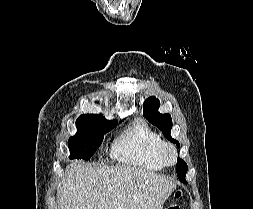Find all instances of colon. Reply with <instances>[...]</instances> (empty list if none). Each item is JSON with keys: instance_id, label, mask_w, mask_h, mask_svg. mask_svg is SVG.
<instances>
[{"instance_id": "colon-1", "label": "colon", "mask_w": 253, "mask_h": 209, "mask_svg": "<svg viewBox=\"0 0 253 209\" xmlns=\"http://www.w3.org/2000/svg\"><path fill=\"white\" fill-rule=\"evenodd\" d=\"M180 195H181V190H177L176 197H179ZM166 209H180V206L176 203H172Z\"/></svg>"}]
</instances>
